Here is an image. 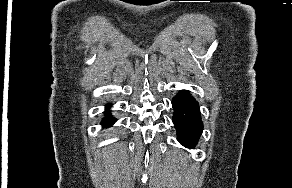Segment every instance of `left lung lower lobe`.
<instances>
[{"label": "left lung lower lobe", "mask_w": 292, "mask_h": 188, "mask_svg": "<svg viewBox=\"0 0 292 188\" xmlns=\"http://www.w3.org/2000/svg\"><path fill=\"white\" fill-rule=\"evenodd\" d=\"M172 106L177 139L185 147L193 148L203 130L198 104L187 92L180 91L172 99Z\"/></svg>", "instance_id": "0a47b994"}]
</instances>
